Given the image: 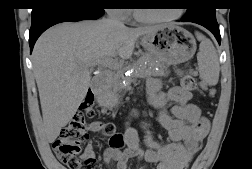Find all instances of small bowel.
Instances as JSON below:
<instances>
[{
  "label": "small bowel",
  "mask_w": 252,
  "mask_h": 169,
  "mask_svg": "<svg viewBox=\"0 0 252 169\" xmlns=\"http://www.w3.org/2000/svg\"><path fill=\"white\" fill-rule=\"evenodd\" d=\"M147 94L150 105L158 110V122L168 131L170 142L161 145L151 135L149 124L144 122L142 128L147 149H143L137 130L130 125L131 119L137 116L134 112L122 136V143L126 148H106L103 160L106 164L115 162L117 169H127V162L131 158L155 164L156 169H183L206 138L209 122L201 117L199 108L190 102L192 93L188 90L173 87L163 91L157 80H150L147 84ZM169 102H174V105L167 110L166 105ZM104 124L102 121H94L89 124L88 129L90 132H101ZM84 154L90 159L94 158L95 150L91 141L86 145Z\"/></svg>",
  "instance_id": "c3829d8e"
}]
</instances>
